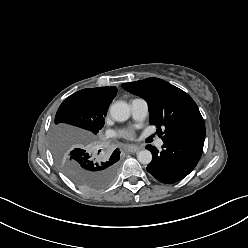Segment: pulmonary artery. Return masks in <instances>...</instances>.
<instances>
[{
	"label": "pulmonary artery",
	"mask_w": 248,
	"mask_h": 248,
	"mask_svg": "<svg viewBox=\"0 0 248 248\" xmlns=\"http://www.w3.org/2000/svg\"><path fill=\"white\" fill-rule=\"evenodd\" d=\"M131 114L133 119L137 121L144 120L148 115V104L145 100L137 98L133 99L130 103ZM163 145V140L159 139L157 141V146L161 147Z\"/></svg>",
	"instance_id": "pulmonary-artery-1"
}]
</instances>
